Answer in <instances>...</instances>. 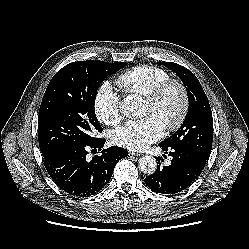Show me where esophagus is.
<instances>
[{
	"mask_svg": "<svg viewBox=\"0 0 249 249\" xmlns=\"http://www.w3.org/2000/svg\"><path fill=\"white\" fill-rule=\"evenodd\" d=\"M128 154L130 156H140L141 155L140 153H137V152H134V151H128Z\"/></svg>",
	"mask_w": 249,
	"mask_h": 249,
	"instance_id": "1",
	"label": "esophagus"
}]
</instances>
